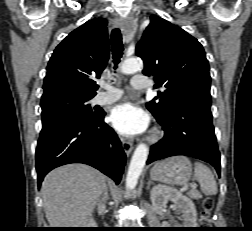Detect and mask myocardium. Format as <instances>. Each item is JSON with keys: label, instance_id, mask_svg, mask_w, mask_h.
Listing matches in <instances>:
<instances>
[{"label": "myocardium", "instance_id": "myocardium-1", "mask_svg": "<svg viewBox=\"0 0 252 231\" xmlns=\"http://www.w3.org/2000/svg\"><path fill=\"white\" fill-rule=\"evenodd\" d=\"M159 137H160V132L154 131V132L152 133V135L150 136V140H151V141H156V140L159 139Z\"/></svg>", "mask_w": 252, "mask_h": 231}]
</instances>
